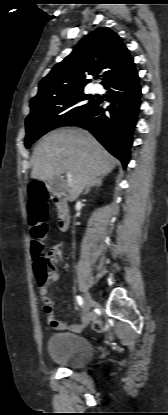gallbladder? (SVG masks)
<instances>
[{"instance_id":"bac80fb5","label":"gallbladder","mask_w":168,"mask_h":415,"mask_svg":"<svg viewBox=\"0 0 168 415\" xmlns=\"http://www.w3.org/2000/svg\"><path fill=\"white\" fill-rule=\"evenodd\" d=\"M47 187L50 191H60L64 188V181L60 177H54L47 181Z\"/></svg>"}]
</instances>
